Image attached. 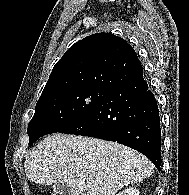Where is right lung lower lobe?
<instances>
[{
    "instance_id": "1",
    "label": "right lung lower lobe",
    "mask_w": 189,
    "mask_h": 195,
    "mask_svg": "<svg viewBox=\"0 0 189 195\" xmlns=\"http://www.w3.org/2000/svg\"><path fill=\"white\" fill-rule=\"evenodd\" d=\"M60 133L118 142L141 152L161 170L159 110L143 75L112 90Z\"/></svg>"
}]
</instances>
